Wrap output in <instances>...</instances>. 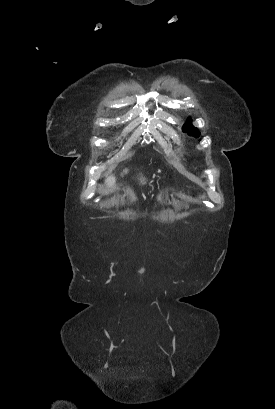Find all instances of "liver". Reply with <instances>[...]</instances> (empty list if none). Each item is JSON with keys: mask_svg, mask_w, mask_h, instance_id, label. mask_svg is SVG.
<instances>
[{"mask_svg": "<svg viewBox=\"0 0 275 409\" xmlns=\"http://www.w3.org/2000/svg\"><path fill=\"white\" fill-rule=\"evenodd\" d=\"M124 172H128L127 168H125ZM141 180H144V178H141ZM105 182L107 186H113L116 182V176H113V174H109L107 178H105Z\"/></svg>", "mask_w": 275, "mask_h": 409, "instance_id": "liver-1", "label": "liver"}]
</instances>
